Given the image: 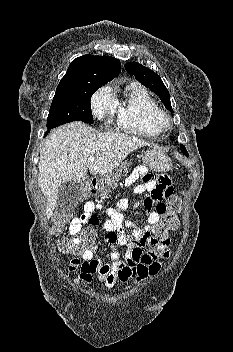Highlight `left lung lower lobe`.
Here are the masks:
<instances>
[{
    "label": "left lung lower lobe",
    "mask_w": 233,
    "mask_h": 352,
    "mask_svg": "<svg viewBox=\"0 0 233 352\" xmlns=\"http://www.w3.org/2000/svg\"><path fill=\"white\" fill-rule=\"evenodd\" d=\"M184 155L188 156V153H183Z\"/></svg>",
    "instance_id": "1"
}]
</instances>
